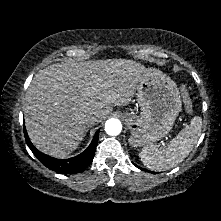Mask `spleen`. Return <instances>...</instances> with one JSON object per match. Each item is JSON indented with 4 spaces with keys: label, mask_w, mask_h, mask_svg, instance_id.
<instances>
[{
    "label": "spleen",
    "mask_w": 221,
    "mask_h": 221,
    "mask_svg": "<svg viewBox=\"0 0 221 221\" xmlns=\"http://www.w3.org/2000/svg\"><path fill=\"white\" fill-rule=\"evenodd\" d=\"M202 119L193 117L190 125L181 130L167 147L150 144L139 153L141 162L152 170H166L181 163L192 151L201 135Z\"/></svg>",
    "instance_id": "1"
}]
</instances>
